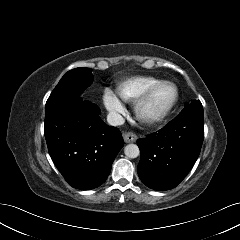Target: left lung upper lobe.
Segmentation results:
<instances>
[{"label":"left lung upper lobe","instance_id":"5c2ea615","mask_svg":"<svg viewBox=\"0 0 240 240\" xmlns=\"http://www.w3.org/2000/svg\"><path fill=\"white\" fill-rule=\"evenodd\" d=\"M193 103H201V102L199 100H197V101H192L191 104H193ZM186 105H188V104H186Z\"/></svg>","mask_w":240,"mask_h":240}]
</instances>
